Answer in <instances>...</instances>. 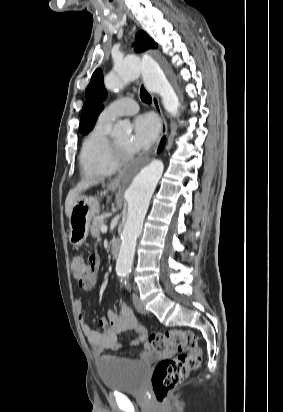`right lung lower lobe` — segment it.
Returning <instances> with one entry per match:
<instances>
[{"label":"right lung lower lobe","instance_id":"1","mask_svg":"<svg viewBox=\"0 0 283 412\" xmlns=\"http://www.w3.org/2000/svg\"><path fill=\"white\" fill-rule=\"evenodd\" d=\"M165 144V138L162 139L160 147H159V151L162 150V148L164 147Z\"/></svg>","mask_w":283,"mask_h":412}]
</instances>
